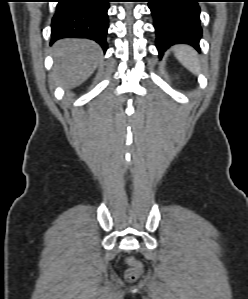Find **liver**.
Instances as JSON below:
<instances>
[{
    "label": "liver",
    "mask_w": 248,
    "mask_h": 299,
    "mask_svg": "<svg viewBox=\"0 0 248 299\" xmlns=\"http://www.w3.org/2000/svg\"><path fill=\"white\" fill-rule=\"evenodd\" d=\"M102 51L88 39H62L53 47V77L66 87H76L94 72Z\"/></svg>",
    "instance_id": "liver-1"
}]
</instances>
